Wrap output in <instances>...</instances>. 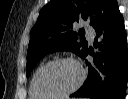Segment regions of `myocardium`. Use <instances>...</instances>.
Instances as JSON below:
<instances>
[{
    "instance_id": "myocardium-1",
    "label": "myocardium",
    "mask_w": 128,
    "mask_h": 99,
    "mask_svg": "<svg viewBox=\"0 0 128 99\" xmlns=\"http://www.w3.org/2000/svg\"><path fill=\"white\" fill-rule=\"evenodd\" d=\"M63 62H69L74 64L79 71V79L78 82L69 90L64 91L62 93H56V94H45L42 93L41 91H39L38 87H37V80L38 77L40 75V73L47 67L57 64V63H63ZM85 81V71L82 67V65L79 63V61H77L76 59L72 58V57H60V58H55L51 61H48L47 63L41 65L37 71L34 74L33 80H32V88L33 91L40 97H46V98H52V99H57V98H64V97H68L70 95H72L73 93H75L84 83Z\"/></svg>"
}]
</instances>
